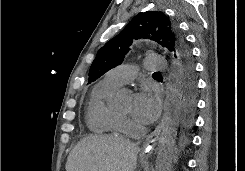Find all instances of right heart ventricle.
Instances as JSON below:
<instances>
[{
  "instance_id": "e07e8e85",
  "label": "right heart ventricle",
  "mask_w": 245,
  "mask_h": 171,
  "mask_svg": "<svg viewBox=\"0 0 245 171\" xmlns=\"http://www.w3.org/2000/svg\"><path fill=\"white\" fill-rule=\"evenodd\" d=\"M116 89L104 80L93 87L86 114L87 125L92 132L118 134L121 131L122 116L107 102Z\"/></svg>"
}]
</instances>
